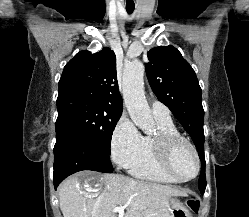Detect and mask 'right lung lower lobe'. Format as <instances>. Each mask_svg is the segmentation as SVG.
<instances>
[{"label":"right lung lower lobe","mask_w":249,"mask_h":217,"mask_svg":"<svg viewBox=\"0 0 249 217\" xmlns=\"http://www.w3.org/2000/svg\"><path fill=\"white\" fill-rule=\"evenodd\" d=\"M81 170L111 173L113 168L109 154L99 150L96 145L69 127L56 128L53 179L55 189L67 176Z\"/></svg>","instance_id":"1"}]
</instances>
